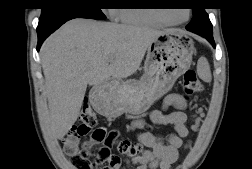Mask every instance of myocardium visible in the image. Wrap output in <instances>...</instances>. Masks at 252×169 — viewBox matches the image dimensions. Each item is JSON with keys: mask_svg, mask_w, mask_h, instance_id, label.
<instances>
[{"mask_svg": "<svg viewBox=\"0 0 252 169\" xmlns=\"http://www.w3.org/2000/svg\"><path fill=\"white\" fill-rule=\"evenodd\" d=\"M150 16L154 20H156V21H158L160 23L170 24V25H178V24H182V23L186 22L189 19V17H190V10H187L186 18L184 20H182V21H179V22H174V21L167 20L164 17H162L160 15H157V14H150Z\"/></svg>", "mask_w": 252, "mask_h": 169, "instance_id": "obj_1", "label": "myocardium"}]
</instances>
